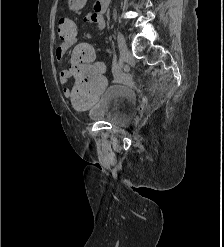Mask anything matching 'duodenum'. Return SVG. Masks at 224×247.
<instances>
[{"label":"duodenum","instance_id":"410a0bca","mask_svg":"<svg viewBox=\"0 0 224 247\" xmlns=\"http://www.w3.org/2000/svg\"><path fill=\"white\" fill-rule=\"evenodd\" d=\"M111 0H98L96 4V9L99 12H103L107 9Z\"/></svg>","mask_w":224,"mask_h":247}]
</instances>
